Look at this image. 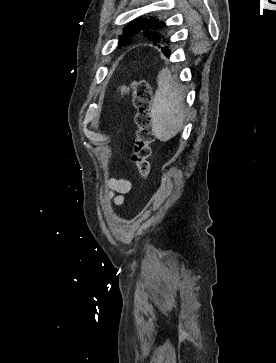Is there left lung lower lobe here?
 <instances>
[{"mask_svg":"<svg viewBox=\"0 0 276 363\" xmlns=\"http://www.w3.org/2000/svg\"><path fill=\"white\" fill-rule=\"evenodd\" d=\"M163 53H164L166 56H168V57H169V55H170V49H169V48H167L166 50H163Z\"/></svg>","mask_w":276,"mask_h":363,"instance_id":"obj_1","label":"left lung lower lobe"}]
</instances>
